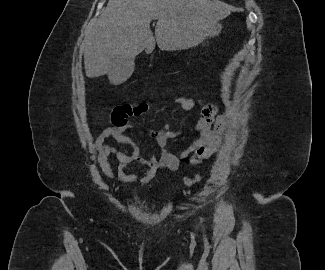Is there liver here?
<instances>
[{
    "mask_svg": "<svg viewBox=\"0 0 325 270\" xmlns=\"http://www.w3.org/2000/svg\"><path fill=\"white\" fill-rule=\"evenodd\" d=\"M229 14L219 0H109L83 42L86 76L108 74L112 84H122L134 68L128 75L112 73L118 59L134 61L143 50L152 51L155 41L165 51L192 48Z\"/></svg>",
    "mask_w": 325,
    "mask_h": 270,
    "instance_id": "obj_1",
    "label": "liver"
}]
</instances>
